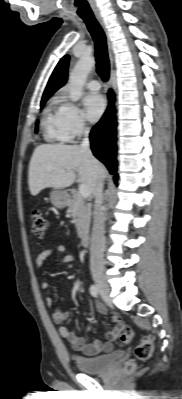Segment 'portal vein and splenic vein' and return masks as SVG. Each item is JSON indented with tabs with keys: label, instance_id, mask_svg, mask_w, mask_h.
<instances>
[{
	"label": "portal vein and splenic vein",
	"instance_id": "portal-vein-and-splenic-vein-1",
	"mask_svg": "<svg viewBox=\"0 0 182 399\" xmlns=\"http://www.w3.org/2000/svg\"><path fill=\"white\" fill-rule=\"evenodd\" d=\"M79 193L83 198H88L91 194L90 189L85 184L79 185Z\"/></svg>",
	"mask_w": 182,
	"mask_h": 399
}]
</instances>
